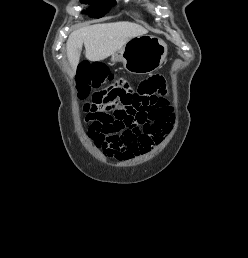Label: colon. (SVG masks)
I'll return each mask as SVG.
<instances>
[{
	"mask_svg": "<svg viewBox=\"0 0 248 258\" xmlns=\"http://www.w3.org/2000/svg\"><path fill=\"white\" fill-rule=\"evenodd\" d=\"M104 68L100 65L86 62L82 64L79 74V96L91 97L84 110L90 122L89 132L99 134L114 133L131 122V113L123 112L113 95H105L92 90L105 81Z\"/></svg>",
	"mask_w": 248,
	"mask_h": 258,
	"instance_id": "5ec220e1",
	"label": "colon"
}]
</instances>
